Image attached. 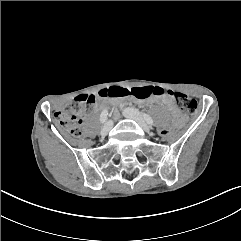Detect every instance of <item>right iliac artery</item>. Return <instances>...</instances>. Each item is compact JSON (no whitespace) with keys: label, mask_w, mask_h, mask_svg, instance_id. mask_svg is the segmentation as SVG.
Masks as SVG:
<instances>
[{"label":"right iliac artery","mask_w":241,"mask_h":241,"mask_svg":"<svg viewBox=\"0 0 241 241\" xmlns=\"http://www.w3.org/2000/svg\"><path fill=\"white\" fill-rule=\"evenodd\" d=\"M107 116H108V111L107 110H103L101 112V115H100V122L101 123H105L106 120H107Z\"/></svg>","instance_id":"1"}]
</instances>
